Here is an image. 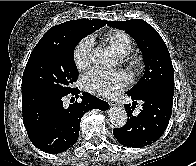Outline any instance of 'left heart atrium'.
I'll use <instances>...</instances> for the list:
<instances>
[{
	"label": "left heart atrium",
	"instance_id": "1",
	"mask_svg": "<svg viewBox=\"0 0 196 166\" xmlns=\"http://www.w3.org/2000/svg\"><path fill=\"white\" fill-rule=\"evenodd\" d=\"M129 83L130 76L122 71L109 72L94 69L83 77L85 89L101 96H113L123 91Z\"/></svg>",
	"mask_w": 196,
	"mask_h": 166
}]
</instances>
